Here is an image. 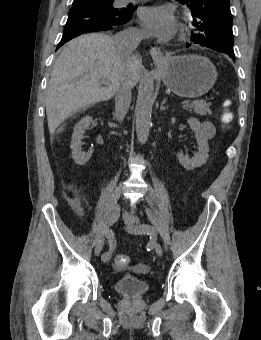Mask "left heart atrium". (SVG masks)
I'll return each instance as SVG.
<instances>
[{"mask_svg": "<svg viewBox=\"0 0 261 340\" xmlns=\"http://www.w3.org/2000/svg\"><path fill=\"white\" fill-rule=\"evenodd\" d=\"M139 19L144 29L156 38H169L176 31L177 22L172 12L164 6L143 8Z\"/></svg>", "mask_w": 261, "mask_h": 340, "instance_id": "1", "label": "left heart atrium"}]
</instances>
